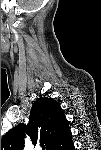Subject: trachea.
Wrapping results in <instances>:
<instances>
[{"label":"trachea","mask_w":101,"mask_h":150,"mask_svg":"<svg viewBox=\"0 0 101 150\" xmlns=\"http://www.w3.org/2000/svg\"><path fill=\"white\" fill-rule=\"evenodd\" d=\"M43 147H44V148H43ZM43 147H42V149H44V150H45V146H43Z\"/></svg>","instance_id":"1"}]
</instances>
